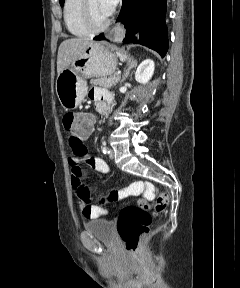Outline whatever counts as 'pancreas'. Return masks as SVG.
<instances>
[{
    "mask_svg": "<svg viewBox=\"0 0 240 288\" xmlns=\"http://www.w3.org/2000/svg\"><path fill=\"white\" fill-rule=\"evenodd\" d=\"M120 80V76L114 75L110 77H101L97 79H92L91 84L96 85V86H102L106 88H111L115 86Z\"/></svg>",
    "mask_w": 240,
    "mask_h": 288,
    "instance_id": "obj_1",
    "label": "pancreas"
}]
</instances>
